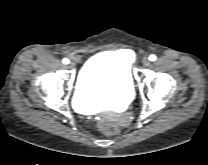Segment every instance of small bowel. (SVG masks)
Wrapping results in <instances>:
<instances>
[{
    "label": "small bowel",
    "mask_w": 208,
    "mask_h": 165,
    "mask_svg": "<svg viewBox=\"0 0 208 165\" xmlns=\"http://www.w3.org/2000/svg\"><path fill=\"white\" fill-rule=\"evenodd\" d=\"M122 58L129 63L128 53L126 51H121Z\"/></svg>",
    "instance_id": "c3829d8e"
}]
</instances>
